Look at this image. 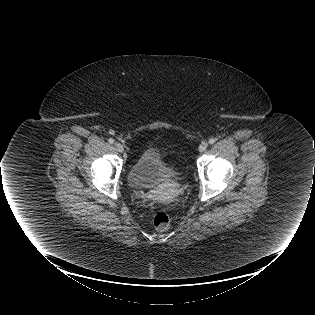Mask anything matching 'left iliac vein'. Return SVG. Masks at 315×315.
<instances>
[{"instance_id":"obj_1","label":"left iliac vein","mask_w":315,"mask_h":315,"mask_svg":"<svg viewBox=\"0 0 315 315\" xmlns=\"http://www.w3.org/2000/svg\"><path fill=\"white\" fill-rule=\"evenodd\" d=\"M208 147V143L207 142H202L199 146V151L200 152H204Z\"/></svg>"}]
</instances>
